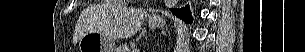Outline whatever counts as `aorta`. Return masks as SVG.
I'll return each mask as SVG.
<instances>
[{
  "mask_svg": "<svg viewBox=\"0 0 305 52\" xmlns=\"http://www.w3.org/2000/svg\"><path fill=\"white\" fill-rule=\"evenodd\" d=\"M164 3L167 8H172L177 5L178 0H165Z\"/></svg>",
  "mask_w": 305,
  "mask_h": 52,
  "instance_id": "obj_1",
  "label": "aorta"
}]
</instances>
